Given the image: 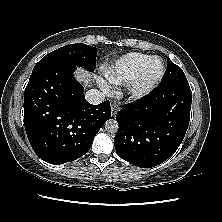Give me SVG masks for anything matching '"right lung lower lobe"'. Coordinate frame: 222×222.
Segmentation results:
<instances>
[{"mask_svg":"<svg viewBox=\"0 0 222 222\" xmlns=\"http://www.w3.org/2000/svg\"><path fill=\"white\" fill-rule=\"evenodd\" d=\"M75 66L54 65L32 72L25 88L24 125L35 153L51 164L86 154L111 117L110 102L88 103L74 79Z\"/></svg>","mask_w":222,"mask_h":222,"instance_id":"1","label":"right lung lower lobe"}]
</instances>
